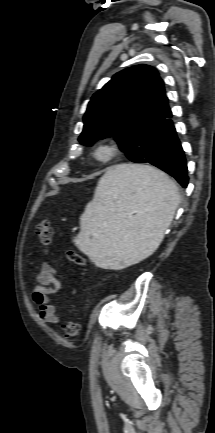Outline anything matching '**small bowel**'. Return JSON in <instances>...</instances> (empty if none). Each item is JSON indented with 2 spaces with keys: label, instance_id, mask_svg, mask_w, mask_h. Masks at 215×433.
Instances as JSON below:
<instances>
[{
  "label": "small bowel",
  "instance_id": "1",
  "mask_svg": "<svg viewBox=\"0 0 215 433\" xmlns=\"http://www.w3.org/2000/svg\"><path fill=\"white\" fill-rule=\"evenodd\" d=\"M61 279L62 276L49 263L44 262L36 276L37 285L32 290L31 297L39 309V315L49 324H56L60 320L52 296L60 290Z\"/></svg>",
  "mask_w": 215,
  "mask_h": 433
}]
</instances>
